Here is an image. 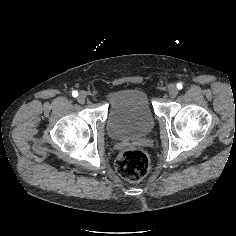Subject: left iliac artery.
<instances>
[{"mask_svg": "<svg viewBox=\"0 0 236 236\" xmlns=\"http://www.w3.org/2000/svg\"><path fill=\"white\" fill-rule=\"evenodd\" d=\"M177 89H179V90H181L182 88H183V85H182V83H177Z\"/></svg>", "mask_w": 236, "mask_h": 236, "instance_id": "obj_1", "label": "left iliac artery"}]
</instances>
